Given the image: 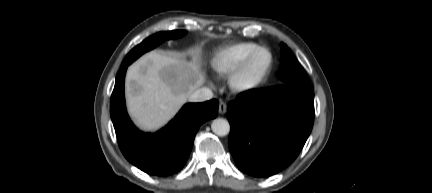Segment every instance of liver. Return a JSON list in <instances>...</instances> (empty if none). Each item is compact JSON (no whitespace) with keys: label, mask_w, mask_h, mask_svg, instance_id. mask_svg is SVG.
<instances>
[{"label":"liver","mask_w":432,"mask_h":193,"mask_svg":"<svg viewBox=\"0 0 432 193\" xmlns=\"http://www.w3.org/2000/svg\"><path fill=\"white\" fill-rule=\"evenodd\" d=\"M199 48L191 58L152 51L129 66L125 94L134 123L144 131L164 126L205 83Z\"/></svg>","instance_id":"6515ba94"}]
</instances>
